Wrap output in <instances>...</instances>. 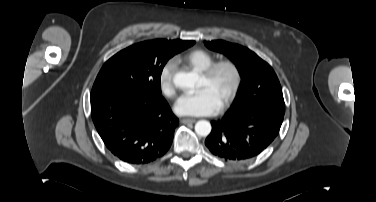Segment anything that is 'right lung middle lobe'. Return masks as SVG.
<instances>
[{
    "label": "right lung middle lobe",
    "mask_w": 376,
    "mask_h": 202,
    "mask_svg": "<svg viewBox=\"0 0 376 202\" xmlns=\"http://www.w3.org/2000/svg\"><path fill=\"white\" fill-rule=\"evenodd\" d=\"M195 41H149L132 45L111 57L100 70L92 95L117 90L162 96L160 77L166 62Z\"/></svg>",
    "instance_id": "right-lung-middle-lobe-1"
}]
</instances>
